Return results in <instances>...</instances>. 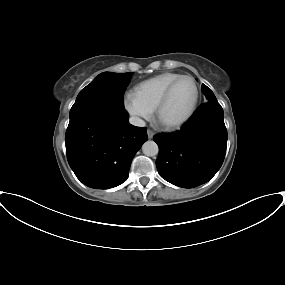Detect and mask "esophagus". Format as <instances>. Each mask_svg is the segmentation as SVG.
Returning <instances> with one entry per match:
<instances>
[{"instance_id": "1", "label": "esophagus", "mask_w": 285, "mask_h": 285, "mask_svg": "<svg viewBox=\"0 0 285 285\" xmlns=\"http://www.w3.org/2000/svg\"><path fill=\"white\" fill-rule=\"evenodd\" d=\"M147 136H148L149 139H152L153 136H154V132L152 130H150V129L147 130Z\"/></svg>"}]
</instances>
